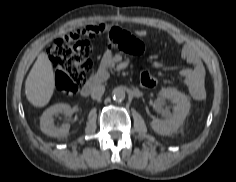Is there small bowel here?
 <instances>
[{
	"label": "small bowel",
	"instance_id": "1",
	"mask_svg": "<svg viewBox=\"0 0 236 182\" xmlns=\"http://www.w3.org/2000/svg\"><path fill=\"white\" fill-rule=\"evenodd\" d=\"M140 36H146L145 31L139 32ZM169 38L180 45L181 57L190 65L180 71V77L187 87L191 97L195 100H202L206 96L205 75L206 70L201 59L200 51L183 36L169 33Z\"/></svg>",
	"mask_w": 236,
	"mask_h": 182
}]
</instances>
